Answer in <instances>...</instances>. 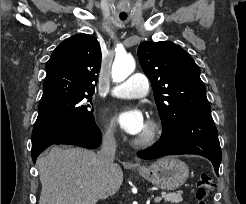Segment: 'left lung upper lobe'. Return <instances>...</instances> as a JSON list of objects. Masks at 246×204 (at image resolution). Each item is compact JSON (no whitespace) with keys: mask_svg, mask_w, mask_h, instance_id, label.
I'll return each instance as SVG.
<instances>
[{"mask_svg":"<svg viewBox=\"0 0 246 204\" xmlns=\"http://www.w3.org/2000/svg\"><path fill=\"white\" fill-rule=\"evenodd\" d=\"M138 58L154 90L163 129L176 120L210 115L199 66L180 46L171 42H143Z\"/></svg>","mask_w":246,"mask_h":204,"instance_id":"left-lung-upper-lobe-1","label":"left lung upper lobe"}]
</instances>
